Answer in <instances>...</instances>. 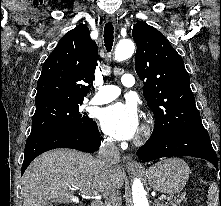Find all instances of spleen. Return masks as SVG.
Returning a JSON list of instances; mask_svg holds the SVG:
<instances>
[{
	"mask_svg": "<svg viewBox=\"0 0 221 206\" xmlns=\"http://www.w3.org/2000/svg\"><path fill=\"white\" fill-rule=\"evenodd\" d=\"M208 206H218L219 204V194L215 183H211L208 191Z\"/></svg>",
	"mask_w": 221,
	"mask_h": 206,
	"instance_id": "1",
	"label": "spleen"
}]
</instances>
